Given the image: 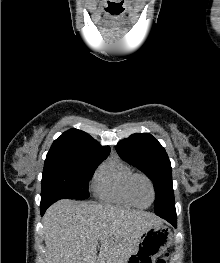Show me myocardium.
Segmentation results:
<instances>
[{"instance_id":"f54148a6","label":"myocardium","mask_w":220,"mask_h":263,"mask_svg":"<svg viewBox=\"0 0 220 263\" xmlns=\"http://www.w3.org/2000/svg\"><path fill=\"white\" fill-rule=\"evenodd\" d=\"M138 179H143L147 182V184L149 185L150 187V190H151V194H152V198H151V201L149 204L147 205H140L137 201H136V198H135V194H134V185H135V182L138 180ZM128 194H129V197L131 199V201L133 202V204L139 208H147L149 207L155 200V197H156V191H155V187H154V184H153V181L144 173H134L132 175V177L130 178L129 180V184H128Z\"/></svg>"}]
</instances>
